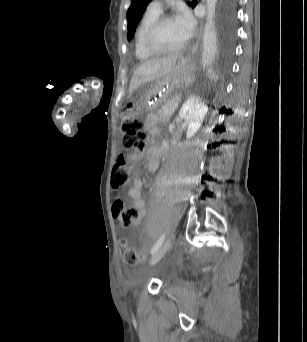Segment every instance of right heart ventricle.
I'll list each match as a JSON object with an SVG mask.
<instances>
[{"label":"right heart ventricle","instance_id":"1","mask_svg":"<svg viewBox=\"0 0 307 342\" xmlns=\"http://www.w3.org/2000/svg\"><path fill=\"white\" fill-rule=\"evenodd\" d=\"M159 16V13L151 10L149 7L146 8L140 15L137 26L134 33V53L138 60L146 62L153 60L155 56L149 54L143 47L142 39L149 23Z\"/></svg>","mask_w":307,"mask_h":342}]
</instances>
